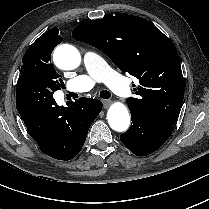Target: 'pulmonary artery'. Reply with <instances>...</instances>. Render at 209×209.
Masks as SVG:
<instances>
[{
    "instance_id": "e3ab8cb5",
    "label": "pulmonary artery",
    "mask_w": 209,
    "mask_h": 209,
    "mask_svg": "<svg viewBox=\"0 0 209 209\" xmlns=\"http://www.w3.org/2000/svg\"><path fill=\"white\" fill-rule=\"evenodd\" d=\"M83 60L85 73L69 81L70 91L84 93L91 90L96 83L105 82L118 96H130L129 86L107 65L100 54L92 50L85 51Z\"/></svg>"
}]
</instances>
